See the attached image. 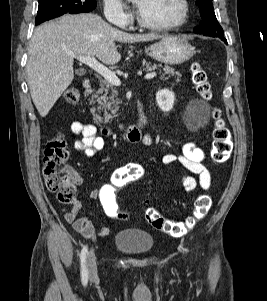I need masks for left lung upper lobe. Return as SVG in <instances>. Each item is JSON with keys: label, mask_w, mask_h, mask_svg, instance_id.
Masks as SVG:
<instances>
[{"label": "left lung upper lobe", "mask_w": 267, "mask_h": 301, "mask_svg": "<svg viewBox=\"0 0 267 301\" xmlns=\"http://www.w3.org/2000/svg\"><path fill=\"white\" fill-rule=\"evenodd\" d=\"M196 5L199 7L201 20L194 32L212 37L223 36V29L215 16L212 0H196Z\"/></svg>", "instance_id": "5c2ea615"}]
</instances>
